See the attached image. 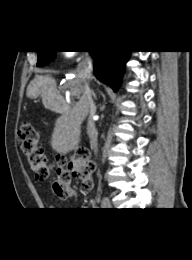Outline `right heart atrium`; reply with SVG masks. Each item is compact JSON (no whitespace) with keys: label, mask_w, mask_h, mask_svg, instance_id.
I'll use <instances>...</instances> for the list:
<instances>
[{"label":"right heart atrium","mask_w":192,"mask_h":260,"mask_svg":"<svg viewBox=\"0 0 192 260\" xmlns=\"http://www.w3.org/2000/svg\"><path fill=\"white\" fill-rule=\"evenodd\" d=\"M70 55H71L70 53H66V54H65L66 57H69Z\"/></svg>","instance_id":"d8ad5b80"}]
</instances>
